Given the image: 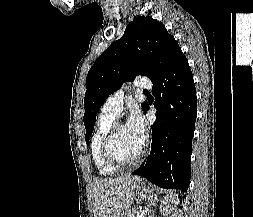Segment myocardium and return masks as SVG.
Listing matches in <instances>:
<instances>
[{
  "label": "myocardium",
  "mask_w": 253,
  "mask_h": 217,
  "mask_svg": "<svg viewBox=\"0 0 253 217\" xmlns=\"http://www.w3.org/2000/svg\"><path fill=\"white\" fill-rule=\"evenodd\" d=\"M123 125H125L123 122L115 121L106 133L101 145V154L105 163L118 169L136 165L143 158L147 149V142L144 139L141 150L133 159L129 161L119 159L113 152V141L118 129Z\"/></svg>",
  "instance_id": "1"
}]
</instances>
